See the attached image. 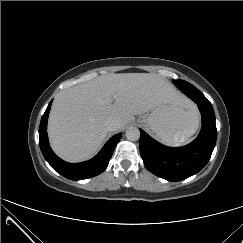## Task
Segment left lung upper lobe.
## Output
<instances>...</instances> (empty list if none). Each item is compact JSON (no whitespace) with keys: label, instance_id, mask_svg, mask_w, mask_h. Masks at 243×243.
Segmentation results:
<instances>
[{"label":"left lung upper lobe","instance_id":"obj_1","mask_svg":"<svg viewBox=\"0 0 243 243\" xmlns=\"http://www.w3.org/2000/svg\"><path fill=\"white\" fill-rule=\"evenodd\" d=\"M173 83L178 87V86L186 84L188 82H186L184 80H173Z\"/></svg>","mask_w":243,"mask_h":243}]
</instances>
